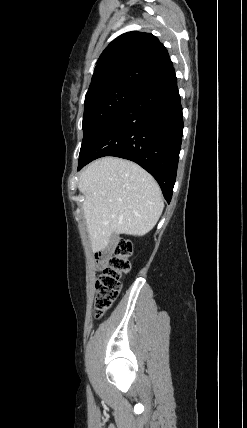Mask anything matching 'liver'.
<instances>
[{
	"label": "liver",
	"instance_id": "6515ba94",
	"mask_svg": "<svg viewBox=\"0 0 247 428\" xmlns=\"http://www.w3.org/2000/svg\"><path fill=\"white\" fill-rule=\"evenodd\" d=\"M91 248L105 250L113 233L141 236L158 222L164 203L154 178L137 164L105 157L79 176Z\"/></svg>",
	"mask_w": 247,
	"mask_h": 428
}]
</instances>
